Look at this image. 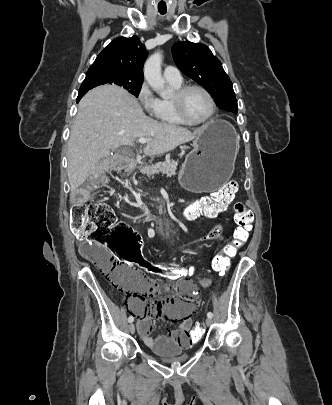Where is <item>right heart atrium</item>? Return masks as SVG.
I'll list each match as a JSON object with an SVG mask.
<instances>
[{"mask_svg":"<svg viewBox=\"0 0 332 405\" xmlns=\"http://www.w3.org/2000/svg\"><path fill=\"white\" fill-rule=\"evenodd\" d=\"M137 99L148 115L156 116L159 107V99L155 97L147 83H143L138 89Z\"/></svg>","mask_w":332,"mask_h":405,"instance_id":"obj_1","label":"right heart atrium"}]
</instances>
